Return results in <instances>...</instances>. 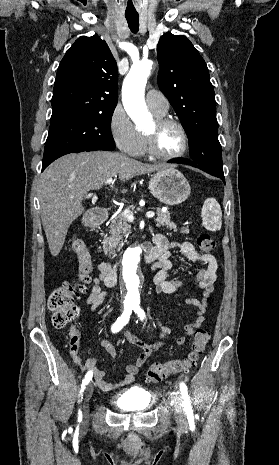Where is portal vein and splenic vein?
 Returning <instances> with one entry per match:
<instances>
[{
  "instance_id": "obj_1",
  "label": "portal vein and splenic vein",
  "mask_w": 279,
  "mask_h": 465,
  "mask_svg": "<svg viewBox=\"0 0 279 465\" xmlns=\"http://www.w3.org/2000/svg\"><path fill=\"white\" fill-rule=\"evenodd\" d=\"M112 182H113V179H112V178H109V179L106 180L105 184H106V185H109V184H111ZM88 196H91V194H89ZM123 215H124V217H125L128 221H133V220H134V215H133V213H132L131 211H129V210H125V211L123 212ZM154 216H155V213L152 212V211H149V212L146 213V217H147V218H153Z\"/></svg>"
}]
</instances>
